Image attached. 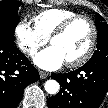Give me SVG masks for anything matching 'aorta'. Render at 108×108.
Instances as JSON below:
<instances>
[{
  "instance_id": "762f6f07",
  "label": "aorta",
  "mask_w": 108,
  "mask_h": 108,
  "mask_svg": "<svg viewBox=\"0 0 108 108\" xmlns=\"http://www.w3.org/2000/svg\"><path fill=\"white\" fill-rule=\"evenodd\" d=\"M44 87L49 94H57L60 88L59 83L53 79L47 80Z\"/></svg>"
}]
</instances>
